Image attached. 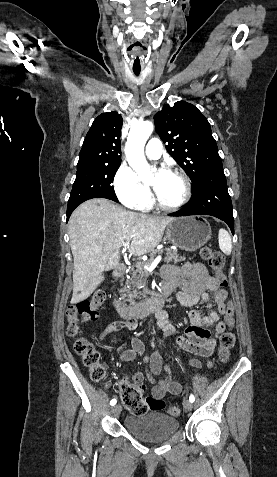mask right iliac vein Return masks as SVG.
Returning <instances> with one entry per match:
<instances>
[{
    "label": "right iliac vein",
    "instance_id": "obj_1",
    "mask_svg": "<svg viewBox=\"0 0 277 477\" xmlns=\"http://www.w3.org/2000/svg\"><path fill=\"white\" fill-rule=\"evenodd\" d=\"M120 412H121V406L119 404L112 407V414L118 415Z\"/></svg>",
    "mask_w": 277,
    "mask_h": 477
}]
</instances>
